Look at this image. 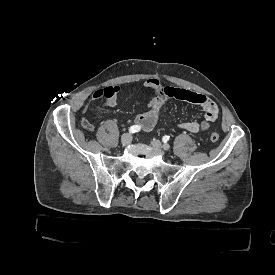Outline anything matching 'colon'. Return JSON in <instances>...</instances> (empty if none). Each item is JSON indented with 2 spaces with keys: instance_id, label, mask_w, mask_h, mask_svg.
Wrapping results in <instances>:
<instances>
[{
  "instance_id": "1",
  "label": "colon",
  "mask_w": 275,
  "mask_h": 275,
  "mask_svg": "<svg viewBox=\"0 0 275 275\" xmlns=\"http://www.w3.org/2000/svg\"><path fill=\"white\" fill-rule=\"evenodd\" d=\"M157 91H158V88L156 86H152L150 88V93L152 95H155L157 93ZM82 126H83V128H85L87 130H92L93 129L92 124L90 122H88L87 120L82 121ZM210 140H211V142H217L219 140V134L217 132L211 133Z\"/></svg>"
}]
</instances>
